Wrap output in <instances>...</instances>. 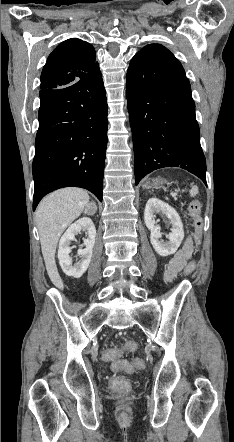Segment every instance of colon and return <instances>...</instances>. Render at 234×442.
Returning a JSON list of instances; mask_svg holds the SVG:
<instances>
[{
	"label": "colon",
	"instance_id": "5ec220e1",
	"mask_svg": "<svg viewBox=\"0 0 234 442\" xmlns=\"http://www.w3.org/2000/svg\"><path fill=\"white\" fill-rule=\"evenodd\" d=\"M202 204L199 200L193 201L188 207V215L191 221V225L194 229V240L199 243L202 230V220L200 217ZM195 262L189 261L184 268V274L190 275L195 271ZM136 349V344L133 342H126L121 346H107L101 348L99 353L104 361L111 362L112 370L116 373L125 372L133 373L136 370H140L144 367L143 358L135 356L131 361L122 359L125 352H133ZM132 382L127 377H116L115 380L110 381L111 389L125 390L131 389Z\"/></svg>",
	"mask_w": 234,
	"mask_h": 442
}]
</instances>
